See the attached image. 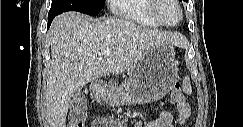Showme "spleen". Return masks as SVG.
<instances>
[{"label":"spleen","mask_w":243,"mask_h":127,"mask_svg":"<svg viewBox=\"0 0 243 127\" xmlns=\"http://www.w3.org/2000/svg\"><path fill=\"white\" fill-rule=\"evenodd\" d=\"M183 91L187 94H191L192 93V88H191V84H190V78L189 77H185L183 79Z\"/></svg>","instance_id":"3e777b00"}]
</instances>
